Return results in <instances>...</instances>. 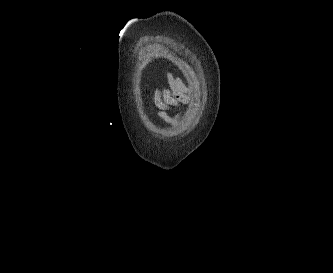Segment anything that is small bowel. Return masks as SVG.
<instances>
[{
  "label": "small bowel",
  "mask_w": 333,
  "mask_h": 273,
  "mask_svg": "<svg viewBox=\"0 0 333 273\" xmlns=\"http://www.w3.org/2000/svg\"><path fill=\"white\" fill-rule=\"evenodd\" d=\"M174 89L164 88L157 89L154 93V103L160 109L159 116L169 118L166 114V109L174 101Z\"/></svg>",
  "instance_id": "small-bowel-1"
}]
</instances>
